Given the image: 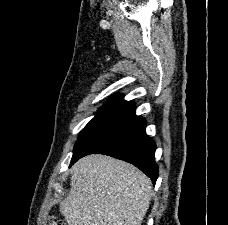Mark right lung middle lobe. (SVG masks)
<instances>
[{
  "label": "right lung middle lobe",
  "mask_w": 228,
  "mask_h": 225,
  "mask_svg": "<svg viewBox=\"0 0 228 225\" xmlns=\"http://www.w3.org/2000/svg\"><path fill=\"white\" fill-rule=\"evenodd\" d=\"M127 104L129 103L124 101L121 95H114L111 97V99H109L108 102L99 109L96 116L80 132L74 150L79 146V144L86 138L88 134H90L100 124L124 108Z\"/></svg>",
  "instance_id": "1"
}]
</instances>
